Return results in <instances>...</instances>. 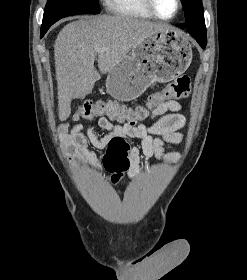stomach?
Returning <instances> with one entry per match:
<instances>
[{"instance_id": "0dacf381", "label": "stomach", "mask_w": 247, "mask_h": 280, "mask_svg": "<svg viewBox=\"0 0 247 280\" xmlns=\"http://www.w3.org/2000/svg\"><path fill=\"white\" fill-rule=\"evenodd\" d=\"M192 61V47L185 36L169 29L154 33L136 45L109 71L107 92L127 102L151 84L165 83L184 73Z\"/></svg>"}]
</instances>
